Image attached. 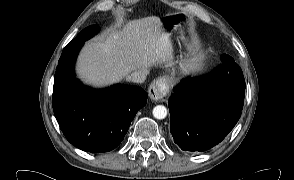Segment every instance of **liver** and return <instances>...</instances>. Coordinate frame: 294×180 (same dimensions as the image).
<instances>
[{
	"instance_id": "6515ba94",
	"label": "liver",
	"mask_w": 294,
	"mask_h": 180,
	"mask_svg": "<svg viewBox=\"0 0 294 180\" xmlns=\"http://www.w3.org/2000/svg\"><path fill=\"white\" fill-rule=\"evenodd\" d=\"M173 47L156 16L129 21L122 29H109L88 42L77 63L80 79L94 87L122 81L132 72L156 65H173Z\"/></svg>"
}]
</instances>
